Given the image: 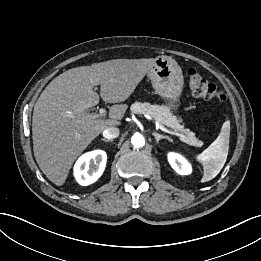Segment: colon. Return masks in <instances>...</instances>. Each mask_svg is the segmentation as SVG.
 <instances>
[{
    "label": "colon",
    "instance_id": "5ec220e1",
    "mask_svg": "<svg viewBox=\"0 0 261 261\" xmlns=\"http://www.w3.org/2000/svg\"><path fill=\"white\" fill-rule=\"evenodd\" d=\"M188 76L189 87L195 97L204 100L225 101V95L219 91L214 84L204 79L197 69L193 67L189 68Z\"/></svg>",
    "mask_w": 261,
    "mask_h": 261
}]
</instances>
